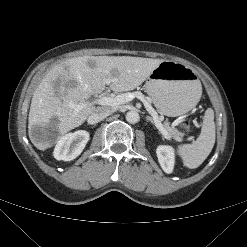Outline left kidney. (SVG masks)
<instances>
[{"mask_svg":"<svg viewBox=\"0 0 247 247\" xmlns=\"http://www.w3.org/2000/svg\"><path fill=\"white\" fill-rule=\"evenodd\" d=\"M161 168L166 173H172L175 164V153L171 146L161 145L156 150Z\"/></svg>","mask_w":247,"mask_h":247,"instance_id":"left-kidney-1","label":"left kidney"}]
</instances>
